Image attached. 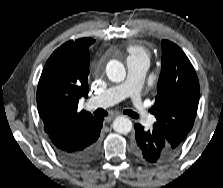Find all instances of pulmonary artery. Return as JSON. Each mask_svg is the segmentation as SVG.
<instances>
[{
  "instance_id": "e3ab8cb5",
  "label": "pulmonary artery",
  "mask_w": 223,
  "mask_h": 188,
  "mask_svg": "<svg viewBox=\"0 0 223 188\" xmlns=\"http://www.w3.org/2000/svg\"><path fill=\"white\" fill-rule=\"evenodd\" d=\"M148 66L149 61L145 57L129 56L126 79L89 99V108H106L129 98L132 109L141 122L147 125L151 124L153 117L149 114L140 91Z\"/></svg>"
}]
</instances>
